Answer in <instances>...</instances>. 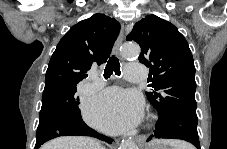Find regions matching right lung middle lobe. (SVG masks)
Returning <instances> with one entry per match:
<instances>
[{"instance_id": "obj_1", "label": "right lung middle lobe", "mask_w": 227, "mask_h": 149, "mask_svg": "<svg viewBox=\"0 0 227 149\" xmlns=\"http://www.w3.org/2000/svg\"><path fill=\"white\" fill-rule=\"evenodd\" d=\"M76 86L56 85L45 88L39 124L61 119H82L79 98L75 97Z\"/></svg>"}]
</instances>
